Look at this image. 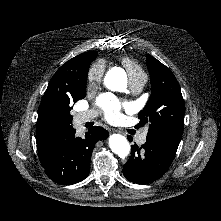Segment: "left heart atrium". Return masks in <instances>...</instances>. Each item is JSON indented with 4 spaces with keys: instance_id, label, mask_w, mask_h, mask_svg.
<instances>
[{
    "instance_id": "obj_1",
    "label": "left heart atrium",
    "mask_w": 221,
    "mask_h": 221,
    "mask_svg": "<svg viewBox=\"0 0 221 221\" xmlns=\"http://www.w3.org/2000/svg\"><path fill=\"white\" fill-rule=\"evenodd\" d=\"M97 105L104 111L105 118L109 121H115L120 116L122 105L110 94L101 95L97 99Z\"/></svg>"
}]
</instances>
